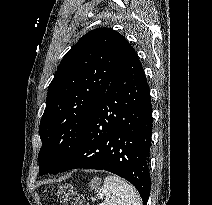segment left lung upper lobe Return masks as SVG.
<instances>
[{
    "label": "left lung upper lobe",
    "mask_w": 212,
    "mask_h": 205,
    "mask_svg": "<svg viewBox=\"0 0 212 205\" xmlns=\"http://www.w3.org/2000/svg\"><path fill=\"white\" fill-rule=\"evenodd\" d=\"M130 47L115 30L98 28L65 54L48 87L40 122V175L61 172Z\"/></svg>",
    "instance_id": "obj_1"
}]
</instances>
